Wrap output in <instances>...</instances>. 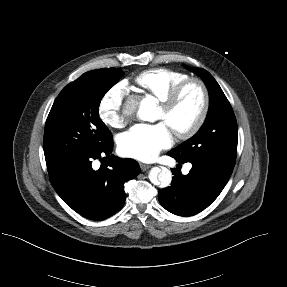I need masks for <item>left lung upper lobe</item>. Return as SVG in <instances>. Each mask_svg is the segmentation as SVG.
<instances>
[{"mask_svg": "<svg viewBox=\"0 0 287 287\" xmlns=\"http://www.w3.org/2000/svg\"><path fill=\"white\" fill-rule=\"evenodd\" d=\"M184 67L202 78L209 91L210 106L200 130L170 152L181 159L204 156L234 167L238 128L232 107L208 71L187 65Z\"/></svg>", "mask_w": 287, "mask_h": 287, "instance_id": "obj_1", "label": "left lung upper lobe"}]
</instances>
